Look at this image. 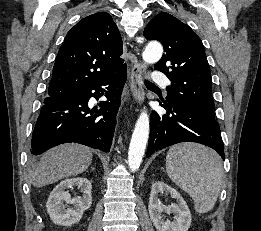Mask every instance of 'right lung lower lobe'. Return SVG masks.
Here are the masks:
<instances>
[{
  "instance_id": "98d812e1",
  "label": "right lung lower lobe",
  "mask_w": 261,
  "mask_h": 231,
  "mask_svg": "<svg viewBox=\"0 0 261 231\" xmlns=\"http://www.w3.org/2000/svg\"><path fill=\"white\" fill-rule=\"evenodd\" d=\"M126 77L125 67L80 93L45 103L33 131L31 154L39 155L54 146L71 142L109 152ZM104 92L107 101L99 104V110L90 109L89 99L98 98Z\"/></svg>"
}]
</instances>
